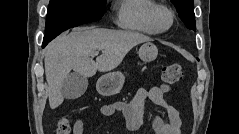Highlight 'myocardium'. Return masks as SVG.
I'll return each mask as SVG.
<instances>
[{"mask_svg":"<svg viewBox=\"0 0 239 134\" xmlns=\"http://www.w3.org/2000/svg\"><path fill=\"white\" fill-rule=\"evenodd\" d=\"M162 15H166L168 17L167 25L163 26L160 24V17ZM149 19L153 27L156 29L158 33H164L168 31L174 23V14L170 8L163 4H157L153 7L150 12Z\"/></svg>","mask_w":239,"mask_h":134,"instance_id":"obj_1","label":"myocardium"}]
</instances>
